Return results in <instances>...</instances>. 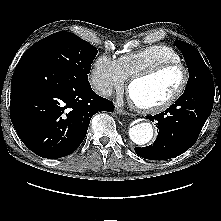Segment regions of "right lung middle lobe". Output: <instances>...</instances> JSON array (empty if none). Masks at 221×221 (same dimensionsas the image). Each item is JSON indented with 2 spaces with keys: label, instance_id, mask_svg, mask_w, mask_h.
<instances>
[{
  "label": "right lung middle lobe",
  "instance_id": "dd1d6c3e",
  "mask_svg": "<svg viewBox=\"0 0 221 221\" xmlns=\"http://www.w3.org/2000/svg\"><path fill=\"white\" fill-rule=\"evenodd\" d=\"M97 49L71 32L54 33L34 45L22 56L56 67L71 77L88 81Z\"/></svg>",
  "mask_w": 221,
  "mask_h": 221
}]
</instances>
